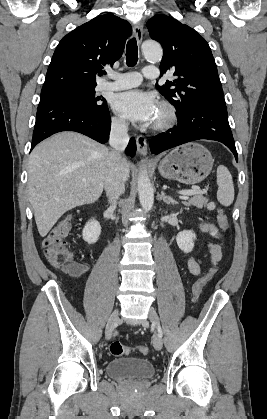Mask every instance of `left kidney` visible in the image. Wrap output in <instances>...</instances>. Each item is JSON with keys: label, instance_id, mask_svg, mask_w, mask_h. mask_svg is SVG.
<instances>
[{"label": "left kidney", "instance_id": "left-kidney-1", "mask_svg": "<svg viewBox=\"0 0 267 419\" xmlns=\"http://www.w3.org/2000/svg\"><path fill=\"white\" fill-rule=\"evenodd\" d=\"M195 239L196 235L192 230L181 231L176 236L177 245L184 253H189L193 250Z\"/></svg>", "mask_w": 267, "mask_h": 419}]
</instances>
